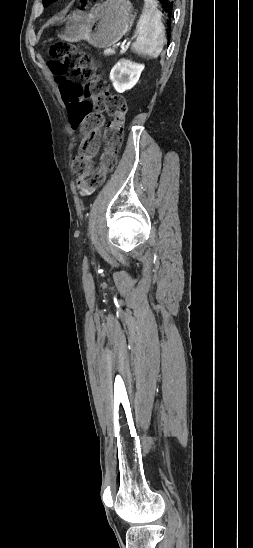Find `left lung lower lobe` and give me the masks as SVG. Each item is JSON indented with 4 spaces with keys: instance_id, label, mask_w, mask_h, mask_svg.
<instances>
[{
    "instance_id": "0a47b994",
    "label": "left lung lower lobe",
    "mask_w": 253,
    "mask_h": 548,
    "mask_svg": "<svg viewBox=\"0 0 253 548\" xmlns=\"http://www.w3.org/2000/svg\"><path fill=\"white\" fill-rule=\"evenodd\" d=\"M158 1L160 2V5L162 6L167 16L171 18L174 0H158Z\"/></svg>"
}]
</instances>
